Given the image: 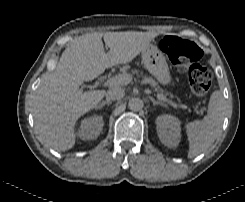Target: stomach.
I'll list each match as a JSON object with an SVG mask.
<instances>
[{"instance_id": "stomach-1", "label": "stomach", "mask_w": 245, "mask_h": 202, "mask_svg": "<svg viewBox=\"0 0 245 202\" xmlns=\"http://www.w3.org/2000/svg\"><path fill=\"white\" fill-rule=\"evenodd\" d=\"M142 62L149 73L162 85L171 82V75L164 54L155 44H149L142 51Z\"/></svg>"}]
</instances>
